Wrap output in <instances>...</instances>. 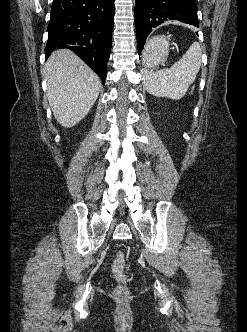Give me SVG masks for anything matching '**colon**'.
<instances>
[{
	"mask_svg": "<svg viewBox=\"0 0 247 332\" xmlns=\"http://www.w3.org/2000/svg\"><path fill=\"white\" fill-rule=\"evenodd\" d=\"M125 265H126L125 254L122 251H118L115 255L112 264V271L115 279L118 282V284L114 288V294L116 297L120 299H126L130 295V290L126 285L127 278L124 272Z\"/></svg>",
	"mask_w": 247,
	"mask_h": 332,
	"instance_id": "colon-1",
	"label": "colon"
}]
</instances>
